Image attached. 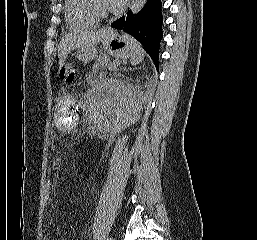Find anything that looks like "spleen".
I'll return each instance as SVG.
<instances>
[{"label":"spleen","instance_id":"1","mask_svg":"<svg viewBox=\"0 0 257 240\" xmlns=\"http://www.w3.org/2000/svg\"><path fill=\"white\" fill-rule=\"evenodd\" d=\"M125 37L130 41L131 43V53H130V57H131V64L132 65H137L140 62H142V60L144 59V50L141 47V45L135 41L133 38L125 35Z\"/></svg>","mask_w":257,"mask_h":240}]
</instances>
